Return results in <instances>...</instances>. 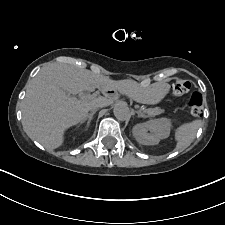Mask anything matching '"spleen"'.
Wrapping results in <instances>:
<instances>
[{
	"label": "spleen",
	"instance_id": "1",
	"mask_svg": "<svg viewBox=\"0 0 225 225\" xmlns=\"http://www.w3.org/2000/svg\"><path fill=\"white\" fill-rule=\"evenodd\" d=\"M201 126L200 120L182 124L175 130L176 150L187 148L194 140L197 130Z\"/></svg>",
	"mask_w": 225,
	"mask_h": 225
}]
</instances>
